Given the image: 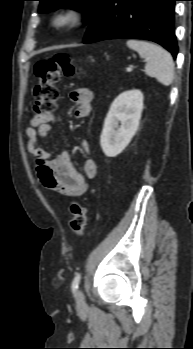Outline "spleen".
<instances>
[{
	"label": "spleen",
	"instance_id": "1",
	"mask_svg": "<svg viewBox=\"0 0 193 349\" xmlns=\"http://www.w3.org/2000/svg\"><path fill=\"white\" fill-rule=\"evenodd\" d=\"M127 46L146 59V75L155 78L164 86L172 84L174 79V63L171 54L161 46L147 41L130 39Z\"/></svg>",
	"mask_w": 193,
	"mask_h": 349
}]
</instances>
